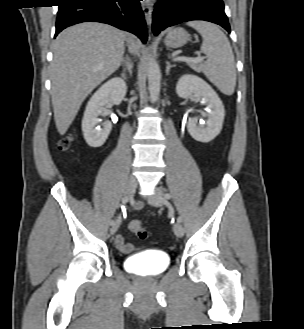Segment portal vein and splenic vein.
<instances>
[{
    "label": "portal vein and splenic vein",
    "instance_id": "portal-vein-and-splenic-vein-1",
    "mask_svg": "<svg viewBox=\"0 0 304 329\" xmlns=\"http://www.w3.org/2000/svg\"><path fill=\"white\" fill-rule=\"evenodd\" d=\"M174 61H183V62H191V63H200L204 61L203 57H175Z\"/></svg>",
    "mask_w": 304,
    "mask_h": 329
}]
</instances>
